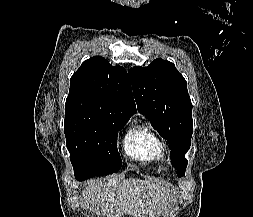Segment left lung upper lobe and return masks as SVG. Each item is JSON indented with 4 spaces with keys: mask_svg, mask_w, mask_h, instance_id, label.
<instances>
[{
    "mask_svg": "<svg viewBox=\"0 0 253 217\" xmlns=\"http://www.w3.org/2000/svg\"><path fill=\"white\" fill-rule=\"evenodd\" d=\"M128 72L139 112L147 116L169 143L172 165L182 177L188 164L184 156L193 132L192 103L186 80L173 63L161 58Z\"/></svg>",
    "mask_w": 253,
    "mask_h": 217,
    "instance_id": "obj_1",
    "label": "left lung upper lobe"
}]
</instances>
